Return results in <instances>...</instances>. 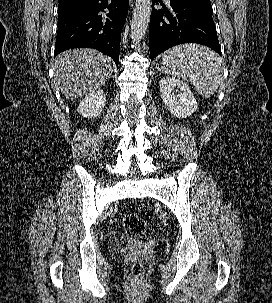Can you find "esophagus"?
I'll list each match as a JSON object with an SVG mask.
<instances>
[{"label":"esophagus","instance_id":"esophagus-1","mask_svg":"<svg viewBox=\"0 0 272 303\" xmlns=\"http://www.w3.org/2000/svg\"><path fill=\"white\" fill-rule=\"evenodd\" d=\"M133 0H130V5H132Z\"/></svg>","mask_w":272,"mask_h":303}]
</instances>
